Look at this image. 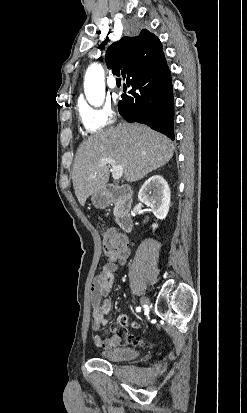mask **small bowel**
<instances>
[{"mask_svg": "<svg viewBox=\"0 0 247 413\" xmlns=\"http://www.w3.org/2000/svg\"><path fill=\"white\" fill-rule=\"evenodd\" d=\"M130 257L131 250L129 247L108 254L107 261L103 265L102 270L94 279L90 292V303L92 307L91 329L93 331H99L102 326L107 324V316L111 312V302L109 297L113 286L114 273L120 266L125 265L130 260ZM119 316L120 326L113 328V335L111 337L107 338L102 335H96L94 337L96 346L110 349L134 341V336L128 334L124 329V326L128 324L127 318L124 316L123 312H120ZM133 324L136 331H141L143 329V324L141 322ZM120 329H123L125 334H119ZM142 341L148 342L149 336L143 335ZM135 347L141 348L142 342L136 341Z\"/></svg>", "mask_w": 247, "mask_h": 413, "instance_id": "1", "label": "small bowel"}]
</instances>
